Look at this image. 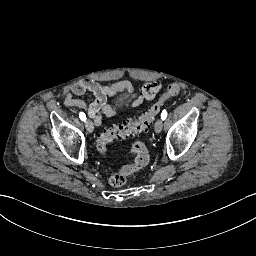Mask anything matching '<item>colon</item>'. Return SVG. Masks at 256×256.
I'll return each mask as SVG.
<instances>
[{"label": "colon", "instance_id": "colon-1", "mask_svg": "<svg viewBox=\"0 0 256 256\" xmlns=\"http://www.w3.org/2000/svg\"><path fill=\"white\" fill-rule=\"evenodd\" d=\"M180 91V86L177 83L168 85L167 89L157 98L148 111L142 113L136 119H129L112 128L104 130L98 141L97 149L100 153L107 151V145L118 139L129 138L135 134L147 131L155 118L161 113L165 103L176 96ZM132 153L135 155L134 164L124 166L118 172L113 173L109 177V184L112 187L123 186L128 177L140 167H145L150 161V154L146 145L137 141L132 144Z\"/></svg>", "mask_w": 256, "mask_h": 256}]
</instances>
